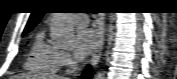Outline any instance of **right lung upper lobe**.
I'll return each mask as SVG.
<instances>
[{
  "label": "right lung upper lobe",
  "instance_id": "1",
  "mask_svg": "<svg viewBox=\"0 0 177 79\" xmlns=\"http://www.w3.org/2000/svg\"><path fill=\"white\" fill-rule=\"evenodd\" d=\"M44 11H35L31 13L29 21L25 28L27 27H35V25L41 20L42 16L44 15Z\"/></svg>",
  "mask_w": 177,
  "mask_h": 79
}]
</instances>
